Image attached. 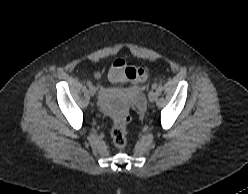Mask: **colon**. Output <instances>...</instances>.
Listing matches in <instances>:
<instances>
[{"label": "colon", "instance_id": "5ec220e1", "mask_svg": "<svg viewBox=\"0 0 248 194\" xmlns=\"http://www.w3.org/2000/svg\"><path fill=\"white\" fill-rule=\"evenodd\" d=\"M132 116L127 114L118 122H115L111 129L113 144L118 149H123L127 145V125L131 122Z\"/></svg>", "mask_w": 248, "mask_h": 194}]
</instances>
